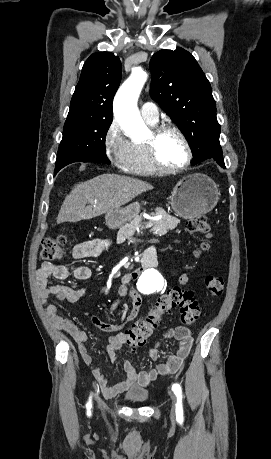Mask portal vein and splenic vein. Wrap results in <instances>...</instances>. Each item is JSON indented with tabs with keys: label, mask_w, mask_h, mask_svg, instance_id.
Returning <instances> with one entry per match:
<instances>
[{
	"label": "portal vein and splenic vein",
	"mask_w": 271,
	"mask_h": 459,
	"mask_svg": "<svg viewBox=\"0 0 271 459\" xmlns=\"http://www.w3.org/2000/svg\"><path fill=\"white\" fill-rule=\"evenodd\" d=\"M144 225H148L147 227L151 228L153 224L150 221H147V224L145 223ZM140 227L142 228L143 226L141 225Z\"/></svg>",
	"instance_id": "portal-vein-and-splenic-vein-1"
}]
</instances>
